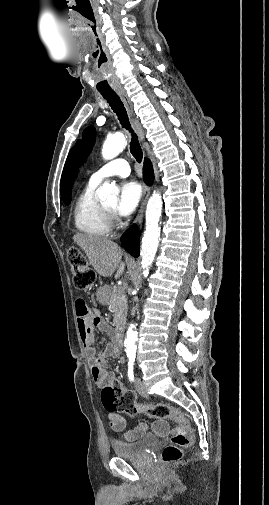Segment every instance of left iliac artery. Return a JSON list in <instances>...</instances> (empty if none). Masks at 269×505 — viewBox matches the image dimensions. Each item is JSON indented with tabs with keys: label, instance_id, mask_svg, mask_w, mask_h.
I'll list each match as a JSON object with an SVG mask.
<instances>
[{
	"label": "left iliac artery",
	"instance_id": "obj_1",
	"mask_svg": "<svg viewBox=\"0 0 269 505\" xmlns=\"http://www.w3.org/2000/svg\"><path fill=\"white\" fill-rule=\"evenodd\" d=\"M128 357V378L130 381H134V362H135V353L127 354Z\"/></svg>",
	"mask_w": 269,
	"mask_h": 505
}]
</instances>
